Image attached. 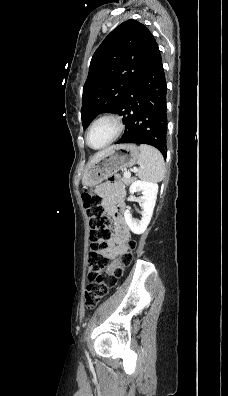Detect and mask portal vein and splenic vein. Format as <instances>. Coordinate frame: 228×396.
<instances>
[{"mask_svg":"<svg viewBox=\"0 0 228 396\" xmlns=\"http://www.w3.org/2000/svg\"><path fill=\"white\" fill-rule=\"evenodd\" d=\"M133 171H134V172H136V171H137V169H136V168H134V169H133ZM124 175H125V176H130L131 174H130V172H129V171H125V172H124Z\"/></svg>","mask_w":228,"mask_h":396,"instance_id":"portal-vein-and-splenic-vein-1","label":"portal vein and splenic vein"}]
</instances>
